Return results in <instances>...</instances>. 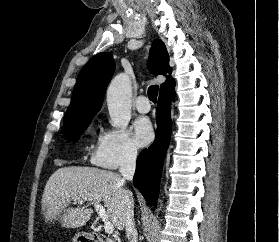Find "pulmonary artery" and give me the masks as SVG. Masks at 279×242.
I'll return each instance as SVG.
<instances>
[{"instance_id":"pulmonary-artery-1","label":"pulmonary artery","mask_w":279,"mask_h":242,"mask_svg":"<svg viewBox=\"0 0 279 242\" xmlns=\"http://www.w3.org/2000/svg\"><path fill=\"white\" fill-rule=\"evenodd\" d=\"M135 107L140 113H147L150 111L151 105L146 96L140 95L135 101Z\"/></svg>"}]
</instances>
